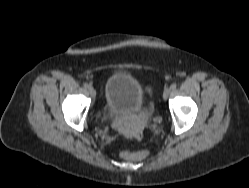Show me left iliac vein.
<instances>
[{
  "label": "left iliac vein",
  "mask_w": 249,
  "mask_h": 188,
  "mask_svg": "<svg viewBox=\"0 0 249 188\" xmlns=\"http://www.w3.org/2000/svg\"><path fill=\"white\" fill-rule=\"evenodd\" d=\"M171 92V89L169 87L165 88L163 93V99L166 100Z\"/></svg>",
  "instance_id": "4c4485c4"
}]
</instances>
